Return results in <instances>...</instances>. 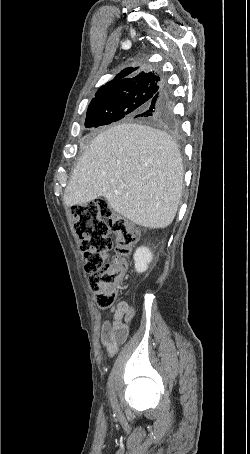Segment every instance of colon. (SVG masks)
Instances as JSON below:
<instances>
[{
  "label": "colon",
  "mask_w": 250,
  "mask_h": 454,
  "mask_svg": "<svg viewBox=\"0 0 250 454\" xmlns=\"http://www.w3.org/2000/svg\"><path fill=\"white\" fill-rule=\"evenodd\" d=\"M80 240L89 284L99 308L112 307L118 298L123 277L139 233L133 224L113 213L104 200L71 207ZM110 234L115 236V249Z\"/></svg>",
  "instance_id": "obj_1"
}]
</instances>
